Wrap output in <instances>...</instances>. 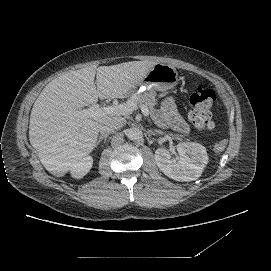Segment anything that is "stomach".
<instances>
[{
    "label": "stomach",
    "instance_id": "obj_1",
    "mask_svg": "<svg viewBox=\"0 0 271 271\" xmlns=\"http://www.w3.org/2000/svg\"><path fill=\"white\" fill-rule=\"evenodd\" d=\"M179 84L177 70L168 64L157 63L147 73L144 79L136 85L139 92L146 91H174ZM133 89L129 92L131 94Z\"/></svg>",
    "mask_w": 271,
    "mask_h": 271
}]
</instances>
